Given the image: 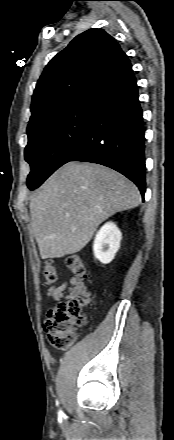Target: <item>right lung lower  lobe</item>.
I'll list each match as a JSON object with an SVG mask.
<instances>
[{
    "mask_svg": "<svg viewBox=\"0 0 174 440\" xmlns=\"http://www.w3.org/2000/svg\"><path fill=\"white\" fill-rule=\"evenodd\" d=\"M86 133L69 161L110 167L133 181L142 199L145 193V136L138 86L133 70L95 93Z\"/></svg>",
    "mask_w": 174,
    "mask_h": 440,
    "instance_id": "98d812e1",
    "label": "right lung lower lobe"
}]
</instances>
